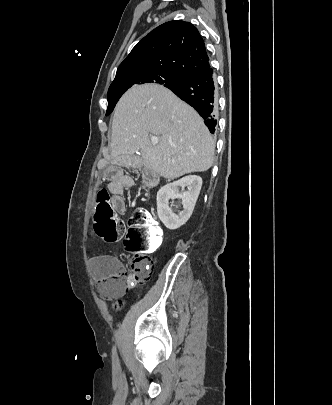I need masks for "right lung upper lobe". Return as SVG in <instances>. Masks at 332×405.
Returning a JSON list of instances; mask_svg holds the SVG:
<instances>
[{
	"label": "right lung upper lobe",
	"instance_id": "obj_1",
	"mask_svg": "<svg viewBox=\"0 0 332 405\" xmlns=\"http://www.w3.org/2000/svg\"><path fill=\"white\" fill-rule=\"evenodd\" d=\"M208 65L205 43L197 28L189 22L169 21L152 30L132 49L118 67L116 77L137 71L185 77Z\"/></svg>",
	"mask_w": 332,
	"mask_h": 405
}]
</instances>
